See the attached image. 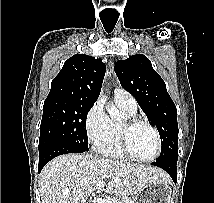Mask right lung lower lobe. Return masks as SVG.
I'll return each mask as SVG.
<instances>
[{"instance_id":"1","label":"right lung lower lobe","mask_w":214,"mask_h":203,"mask_svg":"<svg viewBox=\"0 0 214 203\" xmlns=\"http://www.w3.org/2000/svg\"><path fill=\"white\" fill-rule=\"evenodd\" d=\"M85 152L82 149L69 147L66 145H55L48 147L41 152H39V166H38V172L42 170V168L53 158L62 155V154H68V153H82Z\"/></svg>"}]
</instances>
